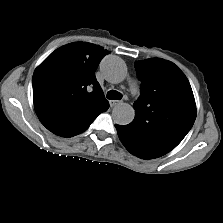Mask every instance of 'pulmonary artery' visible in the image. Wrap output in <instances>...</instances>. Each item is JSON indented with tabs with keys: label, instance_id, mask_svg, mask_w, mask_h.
<instances>
[{
	"label": "pulmonary artery",
	"instance_id": "1",
	"mask_svg": "<svg viewBox=\"0 0 223 223\" xmlns=\"http://www.w3.org/2000/svg\"><path fill=\"white\" fill-rule=\"evenodd\" d=\"M136 85H135V83H132L131 84V90L133 91V92H135L136 91Z\"/></svg>",
	"mask_w": 223,
	"mask_h": 223
}]
</instances>
